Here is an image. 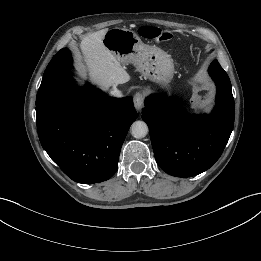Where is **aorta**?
Returning <instances> with one entry per match:
<instances>
[{"instance_id": "1", "label": "aorta", "mask_w": 261, "mask_h": 261, "mask_svg": "<svg viewBox=\"0 0 261 261\" xmlns=\"http://www.w3.org/2000/svg\"><path fill=\"white\" fill-rule=\"evenodd\" d=\"M148 133V126L144 121H135L131 126V134L135 138H143Z\"/></svg>"}]
</instances>
